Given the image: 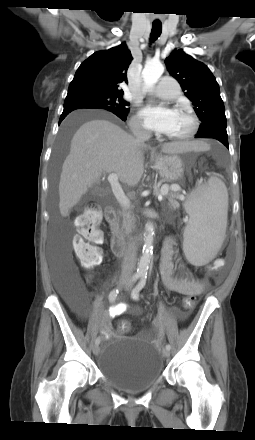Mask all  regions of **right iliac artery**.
<instances>
[{
	"instance_id": "1",
	"label": "right iliac artery",
	"mask_w": 255,
	"mask_h": 440,
	"mask_svg": "<svg viewBox=\"0 0 255 440\" xmlns=\"http://www.w3.org/2000/svg\"><path fill=\"white\" fill-rule=\"evenodd\" d=\"M140 277H141V274H138V273L134 274L133 277H132V282L137 281ZM118 292H119L118 289H113L110 292V294H109V301L111 303L115 302ZM99 343H100V337H97L96 340H95V344L99 345Z\"/></svg>"
}]
</instances>
